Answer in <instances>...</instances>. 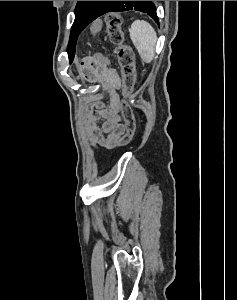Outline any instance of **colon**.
<instances>
[{
    "label": "colon",
    "instance_id": "1",
    "mask_svg": "<svg viewBox=\"0 0 237 300\" xmlns=\"http://www.w3.org/2000/svg\"><path fill=\"white\" fill-rule=\"evenodd\" d=\"M105 25L111 43L114 45V52L120 66L122 76V100L120 111L125 123L124 134L118 140V146L124 147L132 140L136 121L133 110L129 104V97L135 83V55L132 48L125 43L121 30L122 17L118 12L108 13L104 19H96L91 25V32L98 33ZM91 65L105 66L108 59L102 54H94L87 58Z\"/></svg>",
    "mask_w": 237,
    "mask_h": 300
}]
</instances>
